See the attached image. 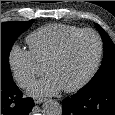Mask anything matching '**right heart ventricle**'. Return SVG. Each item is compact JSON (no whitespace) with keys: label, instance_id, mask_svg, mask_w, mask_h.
<instances>
[{"label":"right heart ventricle","instance_id":"right-heart-ventricle-1","mask_svg":"<svg viewBox=\"0 0 115 115\" xmlns=\"http://www.w3.org/2000/svg\"><path fill=\"white\" fill-rule=\"evenodd\" d=\"M80 30L82 29L72 25L47 24L30 33L26 41L35 60L38 63L45 64L67 37Z\"/></svg>","mask_w":115,"mask_h":115}]
</instances>
